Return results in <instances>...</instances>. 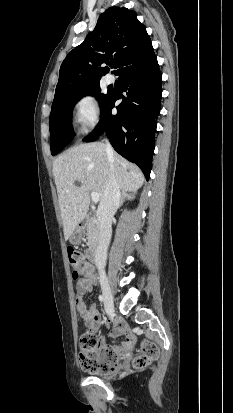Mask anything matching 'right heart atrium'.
Listing matches in <instances>:
<instances>
[{
  "label": "right heart atrium",
  "instance_id": "d8ad5b80",
  "mask_svg": "<svg viewBox=\"0 0 233 413\" xmlns=\"http://www.w3.org/2000/svg\"><path fill=\"white\" fill-rule=\"evenodd\" d=\"M102 110L98 98L92 93L81 95L74 104V117L83 132L94 129L101 120Z\"/></svg>",
  "mask_w": 233,
  "mask_h": 413
}]
</instances>
